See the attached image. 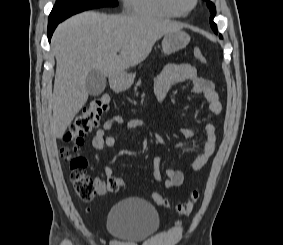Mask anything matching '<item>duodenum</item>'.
<instances>
[{
  "label": "duodenum",
  "mask_w": 283,
  "mask_h": 245,
  "mask_svg": "<svg viewBox=\"0 0 283 245\" xmlns=\"http://www.w3.org/2000/svg\"><path fill=\"white\" fill-rule=\"evenodd\" d=\"M113 84H114V87L116 89H122L123 88V83L120 79H115Z\"/></svg>",
  "instance_id": "duodenum-1"
}]
</instances>
